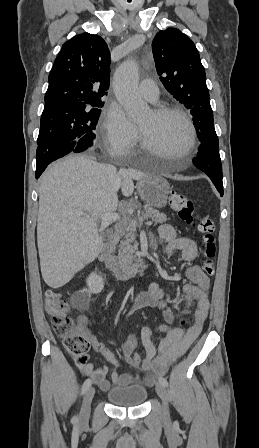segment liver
<instances>
[{
	"mask_svg": "<svg viewBox=\"0 0 259 448\" xmlns=\"http://www.w3.org/2000/svg\"><path fill=\"white\" fill-rule=\"evenodd\" d=\"M129 172L87 156H66L50 164L39 182L37 244L42 278L61 288L99 256L97 228L109 212L120 210L117 192L129 186ZM76 210L87 216H77ZM126 210V208H125Z\"/></svg>",
	"mask_w": 259,
	"mask_h": 448,
	"instance_id": "liver-1",
	"label": "liver"
}]
</instances>
